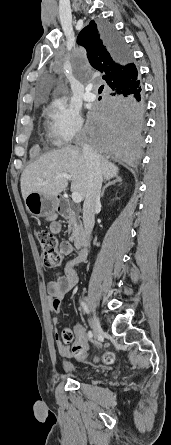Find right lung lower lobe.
<instances>
[{
	"instance_id": "98d812e1",
	"label": "right lung lower lobe",
	"mask_w": 171,
	"mask_h": 445,
	"mask_svg": "<svg viewBox=\"0 0 171 445\" xmlns=\"http://www.w3.org/2000/svg\"><path fill=\"white\" fill-rule=\"evenodd\" d=\"M102 36L118 61L131 58L123 39L109 24H100ZM144 122V94L140 80L111 90L90 114L85 134L99 153L128 165L140 159Z\"/></svg>"
}]
</instances>
